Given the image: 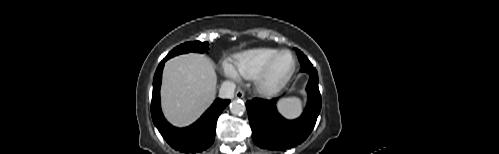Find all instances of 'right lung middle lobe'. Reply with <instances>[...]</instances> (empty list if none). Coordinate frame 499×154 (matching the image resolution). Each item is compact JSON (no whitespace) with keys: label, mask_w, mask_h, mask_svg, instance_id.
Listing matches in <instances>:
<instances>
[{"label":"right lung middle lobe","mask_w":499,"mask_h":154,"mask_svg":"<svg viewBox=\"0 0 499 154\" xmlns=\"http://www.w3.org/2000/svg\"><path fill=\"white\" fill-rule=\"evenodd\" d=\"M208 46L209 44L207 42H200V41L187 42L174 48L171 52H169L166 58L169 59L173 56L187 52L204 53L207 51Z\"/></svg>","instance_id":"dd1d6c3e"}]
</instances>
